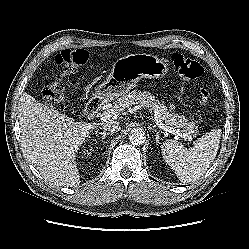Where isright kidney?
<instances>
[{
	"label": "right kidney",
	"mask_w": 249,
	"mask_h": 249,
	"mask_svg": "<svg viewBox=\"0 0 249 249\" xmlns=\"http://www.w3.org/2000/svg\"><path fill=\"white\" fill-rule=\"evenodd\" d=\"M83 153H84L85 155H86V154H87V155H89V154H90V153H88V151H86V150H85V151H83Z\"/></svg>",
	"instance_id": "obj_1"
}]
</instances>
